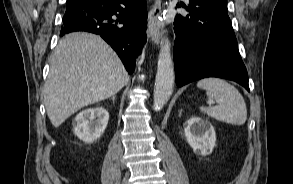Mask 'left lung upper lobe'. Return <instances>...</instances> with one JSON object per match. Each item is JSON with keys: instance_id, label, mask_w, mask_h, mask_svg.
Returning a JSON list of instances; mask_svg holds the SVG:
<instances>
[{"instance_id": "left-lung-upper-lobe-1", "label": "left lung upper lobe", "mask_w": 293, "mask_h": 184, "mask_svg": "<svg viewBox=\"0 0 293 184\" xmlns=\"http://www.w3.org/2000/svg\"><path fill=\"white\" fill-rule=\"evenodd\" d=\"M211 1H215V2H223L224 4H227V0H211Z\"/></svg>"}]
</instances>
